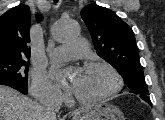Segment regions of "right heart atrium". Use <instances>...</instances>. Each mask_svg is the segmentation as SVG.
Segmentation results:
<instances>
[{"label": "right heart atrium", "instance_id": "d8ad5b80", "mask_svg": "<svg viewBox=\"0 0 165 120\" xmlns=\"http://www.w3.org/2000/svg\"><path fill=\"white\" fill-rule=\"evenodd\" d=\"M30 89L33 96L42 101L59 102L63 99L60 89L52 84L46 75L40 71L33 73Z\"/></svg>", "mask_w": 165, "mask_h": 120}]
</instances>
